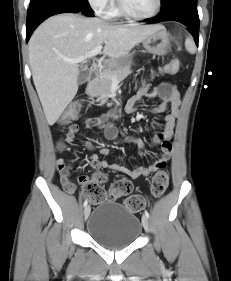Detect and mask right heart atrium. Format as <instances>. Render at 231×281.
Returning <instances> with one entry per match:
<instances>
[{"label":"right heart atrium","instance_id":"obj_1","mask_svg":"<svg viewBox=\"0 0 231 281\" xmlns=\"http://www.w3.org/2000/svg\"><path fill=\"white\" fill-rule=\"evenodd\" d=\"M87 2L94 11L103 14L111 7L113 0H87Z\"/></svg>","mask_w":231,"mask_h":281}]
</instances>
